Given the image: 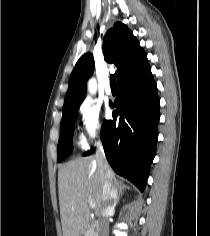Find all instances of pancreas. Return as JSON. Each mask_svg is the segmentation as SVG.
I'll use <instances>...</instances> for the list:
<instances>
[{
    "instance_id": "pancreas-1",
    "label": "pancreas",
    "mask_w": 210,
    "mask_h": 236,
    "mask_svg": "<svg viewBox=\"0 0 210 236\" xmlns=\"http://www.w3.org/2000/svg\"><path fill=\"white\" fill-rule=\"evenodd\" d=\"M85 236H97V234H96V231H95L93 228H89V229L86 231Z\"/></svg>"
}]
</instances>
